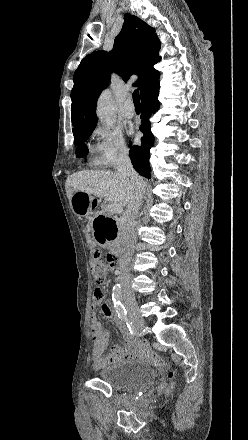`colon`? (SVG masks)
Here are the masks:
<instances>
[{
	"instance_id": "colon-1",
	"label": "colon",
	"mask_w": 248,
	"mask_h": 440,
	"mask_svg": "<svg viewBox=\"0 0 248 440\" xmlns=\"http://www.w3.org/2000/svg\"><path fill=\"white\" fill-rule=\"evenodd\" d=\"M90 259L93 276L98 282H102L105 280L108 271L107 265L110 267H114L116 263L114 256H112L111 254H108L106 256V262L102 261L101 252L97 248H93L91 250ZM94 297L95 299L102 300L104 298L103 291L100 288H96L94 291Z\"/></svg>"
}]
</instances>
